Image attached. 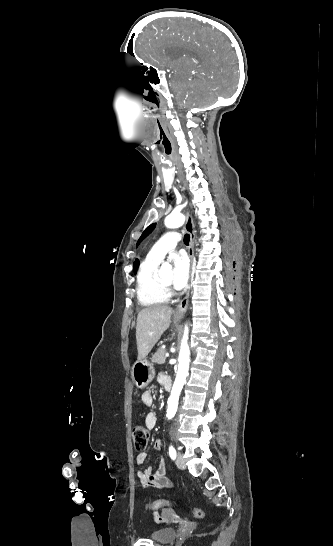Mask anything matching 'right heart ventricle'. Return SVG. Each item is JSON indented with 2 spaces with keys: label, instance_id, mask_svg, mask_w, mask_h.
<instances>
[{
  "label": "right heart ventricle",
  "instance_id": "right-heart-ventricle-1",
  "mask_svg": "<svg viewBox=\"0 0 333 546\" xmlns=\"http://www.w3.org/2000/svg\"><path fill=\"white\" fill-rule=\"evenodd\" d=\"M160 262L146 257L140 265L136 293L139 303L144 307H153L164 304L169 296L160 286L157 275Z\"/></svg>",
  "mask_w": 333,
  "mask_h": 546
}]
</instances>
